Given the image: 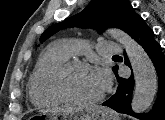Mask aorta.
Wrapping results in <instances>:
<instances>
[{
  "label": "aorta",
  "mask_w": 165,
  "mask_h": 120,
  "mask_svg": "<svg viewBox=\"0 0 165 120\" xmlns=\"http://www.w3.org/2000/svg\"><path fill=\"white\" fill-rule=\"evenodd\" d=\"M108 34L126 50L135 79L131 107L134 112L142 113L151 105L157 91L155 68L144 49L125 32L119 29H110Z\"/></svg>",
  "instance_id": "aorta-1"
}]
</instances>
